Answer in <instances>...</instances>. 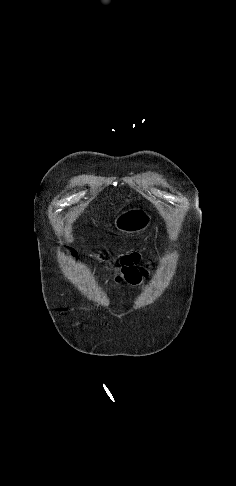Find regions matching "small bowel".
Returning <instances> with one entry per match:
<instances>
[{"label":"small bowel","instance_id":"small-bowel-1","mask_svg":"<svg viewBox=\"0 0 236 486\" xmlns=\"http://www.w3.org/2000/svg\"><path fill=\"white\" fill-rule=\"evenodd\" d=\"M148 275L147 268L139 265V257L135 254L124 257L122 268L116 276V281L127 282L131 285L139 284Z\"/></svg>","mask_w":236,"mask_h":486}]
</instances>
